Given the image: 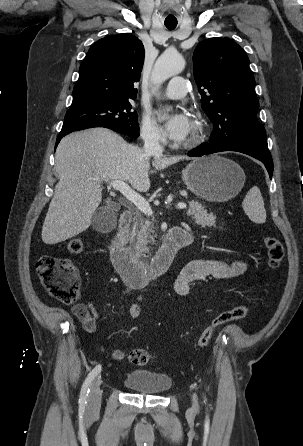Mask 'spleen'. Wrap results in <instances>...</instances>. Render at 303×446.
I'll list each match as a JSON object with an SVG mask.
<instances>
[{
    "instance_id": "spleen-1",
    "label": "spleen",
    "mask_w": 303,
    "mask_h": 446,
    "mask_svg": "<svg viewBox=\"0 0 303 446\" xmlns=\"http://www.w3.org/2000/svg\"><path fill=\"white\" fill-rule=\"evenodd\" d=\"M242 207L251 221L262 224L266 221L264 201L257 186H253L246 194Z\"/></svg>"
}]
</instances>
